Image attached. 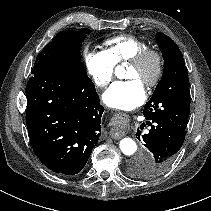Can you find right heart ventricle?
<instances>
[{
    "label": "right heart ventricle",
    "instance_id": "obj_1",
    "mask_svg": "<svg viewBox=\"0 0 211 211\" xmlns=\"http://www.w3.org/2000/svg\"><path fill=\"white\" fill-rule=\"evenodd\" d=\"M105 53L112 62L120 64L128 61L140 50L148 47L146 42L132 35H119L104 42Z\"/></svg>",
    "mask_w": 211,
    "mask_h": 211
}]
</instances>
